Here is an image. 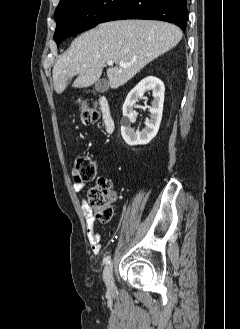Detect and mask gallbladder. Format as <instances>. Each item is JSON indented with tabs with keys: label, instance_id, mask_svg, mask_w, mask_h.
Here are the masks:
<instances>
[{
	"label": "gallbladder",
	"instance_id": "bac80fb5",
	"mask_svg": "<svg viewBox=\"0 0 240 329\" xmlns=\"http://www.w3.org/2000/svg\"><path fill=\"white\" fill-rule=\"evenodd\" d=\"M109 88L108 81L106 79H100L95 84V90L98 92H105Z\"/></svg>",
	"mask_w": 240,
	"mask_h": 329
}]
</instances>
